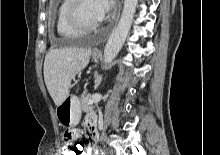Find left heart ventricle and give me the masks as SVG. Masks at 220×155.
Returning a JSON list of instances; mask_svg holds the SVG:
<instances>
[{
	"instance_id": "1",
	"label": "left heart ventricle",
	"mask_w": 220,
	"mask_h": 155,
	"mask_svg": "<svg viewBox=\"0 0 220 155\" xmlns=\"http://www.w3.org/2000/svg\"><path fill=\"white\" fill-rule=\"evenodd\" d=\"M80 12L86 22L98 23L100 21L94 8L93 0H83Z\"/></svg>"
}]
</instances>
